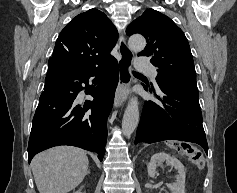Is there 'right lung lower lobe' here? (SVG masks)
Masks as SVG:
<instances>
[{
  "label": "right lung lower lobe",
  "mask_w": 237,
  "mask_h": 193,
  "mask_svg": "<svg viewBox=\"0 0 237 193\" xmlns=\"http://www.w3.org/2000/svg\"><path fill=\"white\" fill-rule=\"evenodd\" d=\"M89 78H94L92 82H97V87L89 85ZM118 80L116 59L103 67L81 73L48 65L44 91L33 118L28 144L29 163L37 153L58 145L97 152L102 161L107 118ZM83 89L94 100L85 101L81 106L77 100Z\"/></svg>",
  "instance_id": "98d812e1"
}]
</instances>
